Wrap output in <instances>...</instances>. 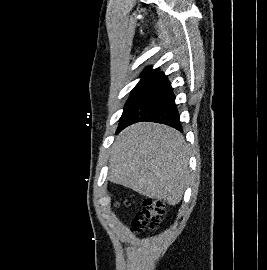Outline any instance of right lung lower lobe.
I'll use <instances>...</instances> for the list:
<instances>
[{
    "instance_id": "right-lung-lower-lobe-1",
    "label": "right lung lower lobe",
    "mask_w": 267,
    "mask_h": 270,
    "mask_svg": "<svg viewBox=\"0 0 267 270\" xmlns=\"http://www.w3.org/2000/svg\"><path fill=\"white\" fill-rule=\"evenodd\" d=\"M141 121L169 125L183 132L173 88L164 73H159L146 92L128 111L124 123L117 129L118 134L125 127Z\"/></svg>"
}]
</instances>
